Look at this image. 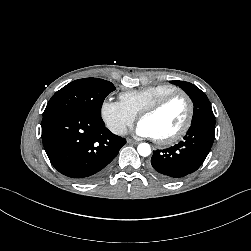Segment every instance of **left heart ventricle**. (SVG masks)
I'll use <instances>...</instances> for the list:
<instances>
[{
    "label": "left heart ventricle",
    "instance_id": "1",
    "mask_svg": "<svg viewBox=\"0 0 251 251\" xmlns=\"http://www.w3.org/2000/svg\"><path fill=\"white\" fill-rule=\"evenodd\" d=\"M188 106L184 98L176 97L158 113L143 118L140 122L148 126L155 138H165L176 133L187 116Z\"/></svg>",
    "mask_w": 251,
    "mask_h": 251
}]
</instances>
